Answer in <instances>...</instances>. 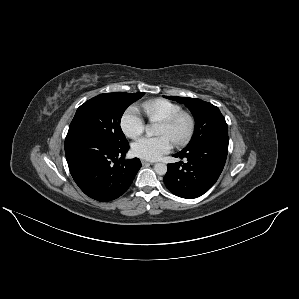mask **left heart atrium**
Returning <instances> with one entry per match:
<instances>
[{
    "instance_id": "1",
    "label": "left heart atrium",
    "mask_w": 299,
    "mask_h": 299,
    "mask_svg": "<svg viewBox=\"0 0 299 299\" xmlns=\"http://www.w3.org/2000/svg\"><path fill=\"white\" fill-rule=\"evenodd\" d=\"M172 148L173 142L167 135L146 136L133 144L132 151L142 159L154 161L169 153Z\"/></svg>"
}]
</instances>
